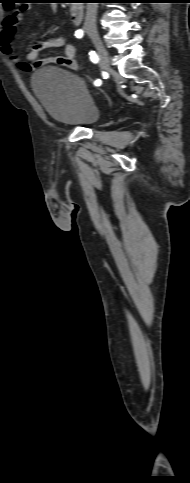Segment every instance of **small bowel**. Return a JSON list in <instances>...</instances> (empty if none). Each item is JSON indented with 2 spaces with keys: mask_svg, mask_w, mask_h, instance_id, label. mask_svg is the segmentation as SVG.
<instances>
[{
  "mask_svg": "<svg viewBox=\"0 0 190 483\" xmlns=\"http://www.w3.org/2000/svg\"><path fill=\"white\" fill-rule=\"evenodd\" d=\"M29 9L28 5H21L14 11L7 14L0 27V49L5 56L19 69L31 72L33 69L48 64H57L59 66L73 69L77 68L75 62L76 47L74 44L67 42L63 36L52 37L44 41L37 42L27 54L26 60L19 58L13 49V36L21 23L24 13ZM61 48L63 56L40 58L45 52Z\"/></svg>",
  "mask_w": 190,
  "mask_h": 483,
  "instance_id": "small-bowel-1",
  "label": "small bowel"
}]
</instances>
